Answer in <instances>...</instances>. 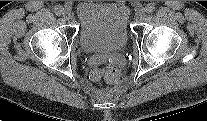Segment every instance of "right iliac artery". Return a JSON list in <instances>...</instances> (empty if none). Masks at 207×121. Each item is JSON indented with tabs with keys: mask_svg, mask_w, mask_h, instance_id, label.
Here are the masks:
<instances>
[{
	"mask_svg": "<svg viewBox=\"0 0 207 121\" xmlns=\"http://www.w3.org/2000/svg\"><path fill=\"white\" fill-rule=\"evenodd\" d=\"M63 10H64L63 7L62 6H59V5L55 6V8H54V12L58 16H60L63 13Z\"/></svg>",
	"mask_w": 207,
	"mask_h": 121,
	"instance_id": "82829eb1",
	"label": "right iliac artery"
}]
</instances>
